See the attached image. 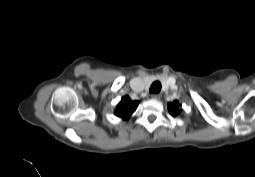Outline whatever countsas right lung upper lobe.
Masks as SVG:
<instances>
[{"instance_id":"cb5924a9","label":"right lung upper lobe","mask_w":255,"mask_h":177,"mask_svg":"<svg viewBox=\"0 0 255 177\" xmlns=\"http://www.w3.org/2000/svg\"><path fill=\"white\" fill-rule=\"evenodd\" d=\"M138 103V101H132L129 96H124L116 107L115 115L124 120L130 118Z\"/></svg>"}]
</instances>
